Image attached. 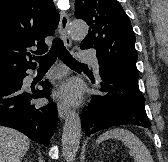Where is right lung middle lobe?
<instances>
[{
    "mask_svg": "<svg viewBox=\"0 0 168 162\" xmlns=\"http://www.w3.org/2000/svg\"><path fill=\"white\" fill-rule=\"evenodd\" d=\"M13 76H9V77H4V78H0V82H2V81H5V80H7V79H9V78H12Z\"/></svg>",
    "mask_w": 168,
    "mask_h": 162,
    "instance_id": "dd1d6c3e",
    "label": "right lung middle lobe"
}]
</instances>
